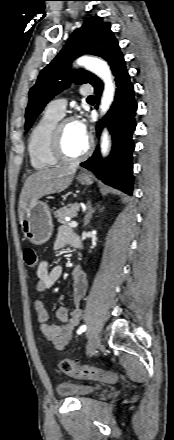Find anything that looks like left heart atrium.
I'll use <instances>...</instances> for the list:
<instances>
[{"mask_svg": "<svg viewBox=\"0 0 174 440\" xmlns=\"http://www.w3.org/2000/svg\"><path fill=\"white\" fill-rule=\"evenodd\" d=\"M73 125L75 130L77 131V133L84 137V138H88V131H87V125L84 121L83 118H77L73 121Z\"/></svg>", "mask_w": 174, "mask_h": 440, "instance_id": "39dd6f15", "label": "left heart atrium"}]
</instances>
